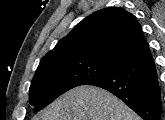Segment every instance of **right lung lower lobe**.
Returning a JSON list of instances; mask_svg holds the SVG:
<instances>
[{
	"label": "right lung lower lobe",
	"instance_id": "1",
	"mask_svg": "<svg viewBox=\"0 0 165 120\" xmlns=\"http://www.w3.org/2000/svg\"><path fill=\"white\" fill-rule=\"evenodd\" d=\"M86 85L98 86L111 92L143 120H161V88L148 46L130 55L109 73Z\"/></svg>",
	"mask_w": 165,
	"mask_h": 120
}]
</instances>
